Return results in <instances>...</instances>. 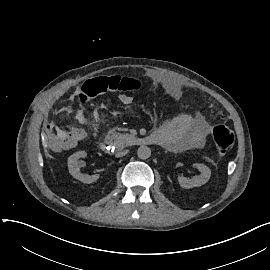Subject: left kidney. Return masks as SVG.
Wrapping results in <instances>:
<instances>
[{"instance_id":"5707ae66","label":"left kidney","mask_w":270,"mask_h":270,"mask_svg":"<svg viewBox=\"0 0 270 270\" xmlns=\"http://www.w3.org/2000/svg\"><path fill=\"white\" fill-rule=\"evenodd\" d=\"M194 166L201 172L200 175L194 176L192 179H188L183 176L178 177V182L182 188H193V187H199L210 179L211 176V170L204 164L196 163Z\"/></svg>"}]
</instances>
